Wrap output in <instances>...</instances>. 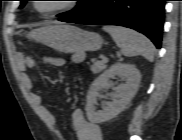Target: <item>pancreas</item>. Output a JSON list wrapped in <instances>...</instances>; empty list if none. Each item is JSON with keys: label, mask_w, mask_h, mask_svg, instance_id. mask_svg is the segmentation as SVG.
<instances>
[{"label": "pancreas", "mask_w": 182, "mask_h": 140, "mask_svg": "<svg viewBox=\"0 0 182 140\" xmlns=\"http://www.w3.org/2000/svg\"><path fill=\"white\" fill-rule=\"evenodd\" d=\"M92 62H93V64L91 65L90 69L94 74L99 73V72L103 71L104 69H106L107 62L99 61V60H95V59H92Z\"/></svg>", "instance_id": "1"}]
</instances>
